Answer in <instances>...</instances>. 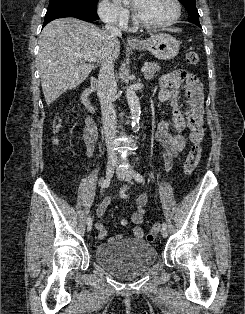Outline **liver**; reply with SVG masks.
Listing matches in <instances>:
<instances>
[{
	"mask_svg": "<svg viewBox=\"0 0 245 314\" xmlns=\"http://www.w3.org/2000/svg\"><path fill=\"white\" fill-rule=\"evenodd\" d=\"M39 46L38 69L47 105L78 87L94 69L93 64L76 54L103 64L114 63L120 53L117 37L76 18L56 19L46 25Z\"/></svg>",
	"mask_w": 245,
	"mask_h": 314,
	"instance_id": "6515ba94",
	"label": "liver"
}]
</instances>
